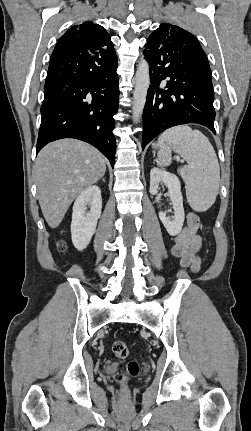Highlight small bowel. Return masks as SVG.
<instances>
[{
	"label": "small bowel",
	"instance_id": "obj_1",
	"mask_svg": "<svg viewBox=\"0 0 251 431\" xmlns=\"http://www.w3.org/2000/svg\"><path fill=\"white\" fill-rule=\"evenodd\" d=\"M200 227L199 217L189 213L186 217L181 232L174 237L171 254L179 259L182 267H188L197 272L201 265L199 251L202 246V238L198 233Z\"/></svg>",
	"mask_w": 251,
	"mask_h": 431
}]
</instances>
